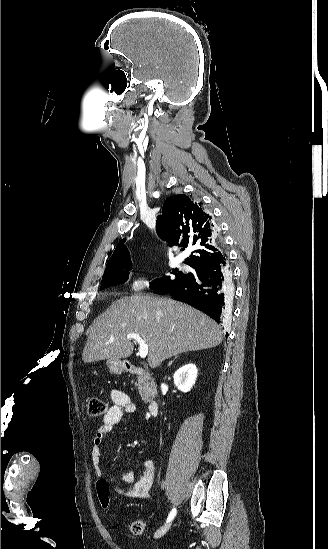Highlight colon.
<instances>
[{
	"mask_svg": "<svg viewBox=\"0 0 328 549\" xmlns=\"http://www.w3.org/2000/svg\"><path fill=\"white\" fill-rule=\"evenodd\" d=\"M106 411L105 402L97 397L91 396L88 399V412L91 416H101ZM98 499L101 508L108 509L111 505L110 490L107 481L100 479L96 483ZM145 524L142 520H135L130 525V531L134 535H141L144 532Z\"/></svg>",
	"mask_w": 328,
	"mask_h": 549,
	"instance_id": "obj_1",
	"label": "colon"
}]
</instances>
